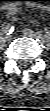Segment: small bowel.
Wrapping results in <instances>:
<instances>
[{"label":"small bowel","mask_w":50,"mask_h":111,"mask_svg":"<svg viewBox=\"0 0 50 111\" xmlns=\"http://www.w3.org/2000/svg\"><path fill=\"white\" fill-rule=\"evenodd\" d=\"M17 12H18V9H17V8H10V9L8 10V15H9V16H14L15 14H17Z\"/></svg>","instance_id":"obj_1"}]
</instances>
